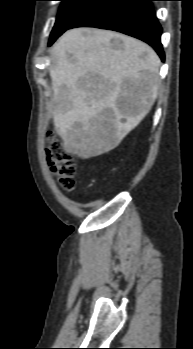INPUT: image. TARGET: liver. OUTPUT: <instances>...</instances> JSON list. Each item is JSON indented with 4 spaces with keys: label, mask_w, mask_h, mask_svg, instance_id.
Returning <instances> with one entry per match:
<instances>
[{
    "label": "liver",
    "mask_w": 193,
    "mask_h": 349,
    "mask_svg": "<svg viewBox=\"0 0 193 349\" xmlns=\"http://www.w3.org/2000/svg\"><path fill=\"white\" fill-rule=\"evenodd\" d=\"M112 39L122 41V48L114 49ZM50 60L55 130L65 149L82 159L116 148L157 98L160 59L133 37L102 29H71L52 47ZM121 99L132 102L135 110L122 112ZM106 109L112 111L110 118L104 115Z\"/></svg>",
    "instance_id": "1"
}]
</instances>
